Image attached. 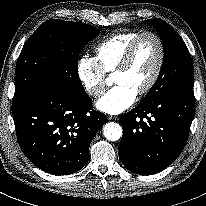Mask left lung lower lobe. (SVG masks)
<instances>
[{"label": "left lung lower lobe", "instance_id": "0a47b994", "mask_svg": "<svg viewBox=\"0 0 206 206\" xmlns=\"http://www.w3.org/2000/svg\"><path fill=\"white\" fill-rule=\"evenodd\" d=\"M192 91L140 103L121 116L119 155L131 172L150 175L167 168L182 152L194 117Z\"/></svg>", "mask_w": 206, "mask_h": 206}]
</instances>
